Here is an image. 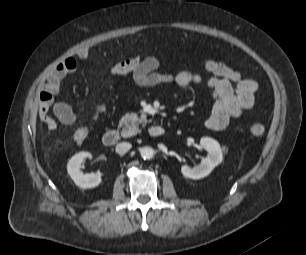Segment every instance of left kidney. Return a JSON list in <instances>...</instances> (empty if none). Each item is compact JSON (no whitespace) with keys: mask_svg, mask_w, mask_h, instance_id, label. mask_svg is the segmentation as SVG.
Listing matches in <instances>:
<instances>
[{"mask_svg":"<svg viewBox=\"0 0 306 255\" xmlns=\"http://www.w3.org/2000/svg\"><path fill=\"white\" fill-rule=\"evenodd\" d=\"M200 145L207 150V156L202 158L201 163L198 166L191 168L184 165L181 167L182 174L187 178H204L223 160L221 147L216 140L210 137H202L200 139Z\"/></svg>","mask_w":306,"mask_h":255,"instance_id":"5707ae66","label":"left kidney"}]
</instances>
